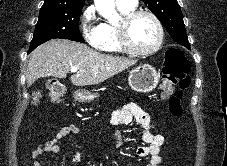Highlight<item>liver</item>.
<instances>
[{"label":"liver","instance_id":"6515ba94","mask_svg":"<svg viewBox=\"0 0 227 166\" xmlns=\"http://www.w3.org/2000/svg\"><path fill=\"white\" fill-rule=\"evenodd\" d=\"M134 64L136 60L103 54L79 42L52 39L32 52L26 81L31 86L41 77L66 78L77 67L70 78L73 85H97Z\"/></svg>","mask_w":227,"mask_h":166}]
</instances>
